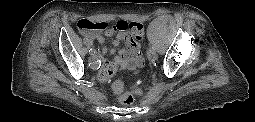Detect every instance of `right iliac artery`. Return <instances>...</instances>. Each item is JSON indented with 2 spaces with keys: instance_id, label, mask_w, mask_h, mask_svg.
<instances>
[{
  "instance_id": "obj_1",
  "label": "right iliac artery",
  "mask_w": 255,
  "mask_h": 122,
  "mask_svg": "<svg viewBox=\"0 0 255 122\" xmlns=\"http://www.w3.org/2000/svg\"><path fill=\"white\" fill-rule=\"evenodd\" d=\"M93 52H95V49H94V48H91V49L89 50V53L92 54Z\"/></svg>"
}]
</instances>
